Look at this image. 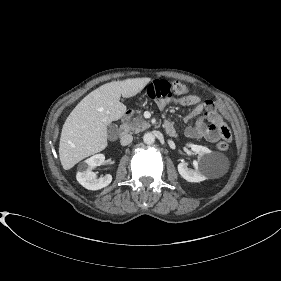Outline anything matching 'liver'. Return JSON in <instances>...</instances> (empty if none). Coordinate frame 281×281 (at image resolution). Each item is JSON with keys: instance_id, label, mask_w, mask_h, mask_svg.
Here are the masks:
<instances>
[{"instance_id": "1", "label": "liver", "mask_w": 281, "mask_h": 281, "mask_svg": "<svg viewBox=\"0 0 281 281\" xmlns=\"http://www.w3.org/2000/svg\"><path fill=\"white\" fill-rule=\"evenodd\" d=\"M150 78H132L106 83L84 97L67 117L60 137L59 158L64 170L84 158L104 150L107 126L126 112L120 97L140 93Z\"/></svg>"}]
</instances>
